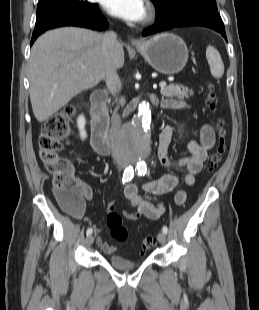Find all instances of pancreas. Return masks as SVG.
<instances>
[{
  "instance_id": "1",
  "label": "pancreas",
  "mask_w": 259,
  "mask_h": 310,
  "mask_svg": "<svg viewBox=\"0 0 259 310\" xmlns=\"http://www.w3.org/2000/svg\"><path fill=\"white\" fill-rule=\"evenodd\" d=\"M160 92L165 97H177L179 99H188L193 95V92L187 87L178 84H170L167 87H163Z\"/></svg>"
}]
</instances>
